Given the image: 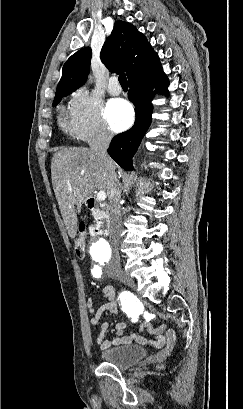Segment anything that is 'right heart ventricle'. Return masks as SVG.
<instances>
[{"label":"right heart ventricle","mask_w":243,"mask_h":409,"mask_svg":"<svg viewBox=\"0 0 243 409\" xmlns=\"http://www.w3.org/2000/svg\"><path fill=\"white\" fill-rule=\"evenodd\" d=\"M60 125L64 129H69V123L67 121V117H66L65 113H62L61 116H60Z\"/></svg>","instance_id":"obj_1"}]
</instances>
